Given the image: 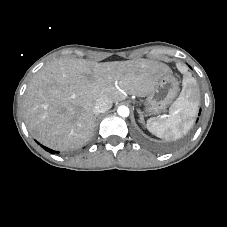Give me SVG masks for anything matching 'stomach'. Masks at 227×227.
Instances as JSON below:
<instances>
[{
    "mask_svg": "<svg viewBox=\"0 0 227 227\" xmlns=\"http://www.w3.org/2000/svg\"><path fill=\"white\" fill-rule=\"evenodd\" d=\"M179 82L171 74L163 76L148 94L145 111L157 114L164 111L177 97Z\"/></svg>",
    "mask_w": 227,
    "mask_h": 227,
    "instance_id": "stomach-1",
    "label": "stomach"
}]
</instances>
